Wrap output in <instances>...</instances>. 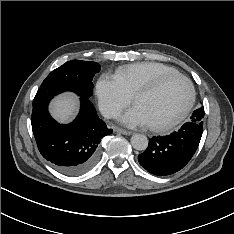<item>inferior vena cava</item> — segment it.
I'll list each match as a JSON object with an SVG mask.
<instances>
[{
	"label": "inferior vena cava",
	"mask_w": 234,
	"mask_h": 234,
	"mask_svg": "<svg viewBox=\"0 0 234 234\" xmlns=\"http://www.w3.org/2000/svg\"><path fill=\"white\" fill-rule=\"evenodd\" d=\"M118 113L116 112V111H113V110H111V111H107V112H104L103 113V115L105 116V117H113V116H116Z\"/></svg>",
	"instance_id": "inferior-vena-cava-1"
}]
</instances>
